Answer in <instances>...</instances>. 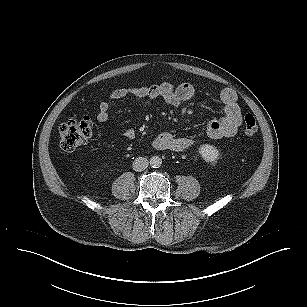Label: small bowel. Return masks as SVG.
Instances as JSON below:
<instances>
[{
	"instance_id": "small-bowel-1",
	"label": "small bowel",
	"mask_w": 307,
	"mask_h": 307,
	"mask_svg": "<svg viewBox=\"0 0 307 307\" xmlns=\"http://www.w3.org/2000/svg\"><path fill=\"white\" fill-rule=\"evenodd\" d=\"M195 95V88L188 82L174 84L163 82L153 85H139L131 87H121L110 92L108 100L99 104L96 118L99 122L108 121L111 102L135 97L142 99L143 108H149L157 98H162L168 105L173 107L180 106L183 102L189 101ZM219 99L223 105L224 115L212 119L207 126V136L210 139H221L232 137L237 133L238 127L242 122V113L237 102V95L231 89H224L219 94ZM126 139H132L134 132L126 129L122 132ZM194 141L188 137H177L170 133L163 132L157 135L153 145L159 150H171L181 152L189 149Z\"/></svg>"
}]
</instances>
